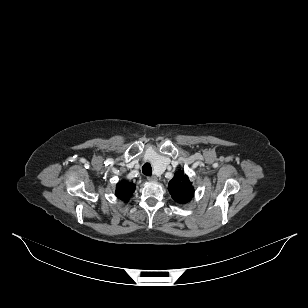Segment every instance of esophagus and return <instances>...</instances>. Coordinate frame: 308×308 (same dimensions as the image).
Masks as SVG:
<instances>
[{
    "label": "esophagus",
    "mask_w": 308,
    "mask_h": 308,
    "mask_svg": "<svg viewBox=\"0 0 308 308\" xmlns=\"http://www.w3.org/2000/svg\"><path fill=\"white\" fill-rule=\"evenodd\" d=\"M147 180L150 181V182H156L157 177L156 176H149V177H147Z\"/></svg>",
    "instance_id": "esophagus-1"
}]
</instances>
